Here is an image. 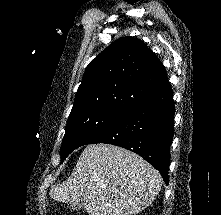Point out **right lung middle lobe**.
I'll list each match as a JSON object with an SVG mask.
<instances>
[{
  "label": "right lung middle lobe",
  "instance_id": "dd1d6c3e",
  "mask_svg": "<svg viewBox=\"0 0 221 215\" xmlns=\"http://www.w3.org/2000/svg\"><path fill=\"white\" fill-rule=\"evenodd\" d=\"M120 117L102 110H86L71 113L68 118L61 147V162L75 149L85 145L107 126Z\"/></svg>",
  "mask_w": 221,
  "mask_h": 215
}]
</instances>
